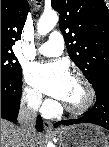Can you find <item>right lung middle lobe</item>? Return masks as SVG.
I'll return each instance as SVG.
<instances>
[{"mask_svg": "<svg viewBox=\"0 0 109 147\" xmlns=\"http://www.w3.org/2000/svg\"><path fill=\"white\" fill-rule=\"evenodd\" d=\"M1 77L20 78L21 66L10 49L1 48Z\"/></svg>", "mask_w": 109, "mask_h": 147, "instance_id": "right-lung-middle-lobe-1", "label": "right lung middle lobe"}]
</instances>
